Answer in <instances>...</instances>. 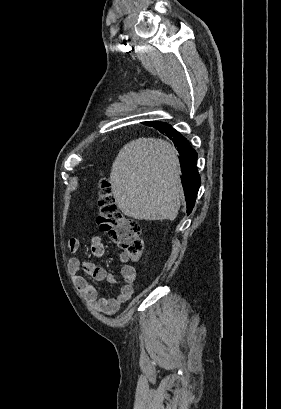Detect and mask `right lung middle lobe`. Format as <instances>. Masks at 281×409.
I'll return each instance as SVG.
<instances>
[{
    "label": "right lung middle lobe",
    "mask_w": 281,
    "mask_h": 409,
    "mask_svg": "<svg viewBox=\"0 0 281 409\" xmlns=\"http://www.w3.org/2000/svg\"><path fill=\"white\" fill-rule=\"evenodd\" d=\"M145 124L148 126H152L160 131L164 130L167 126H169L168 124L162 122H146Z\"/></svg>",
    "instance_id": "right-lung-middle-lobe-1"
}]
</instances>
